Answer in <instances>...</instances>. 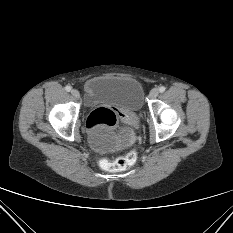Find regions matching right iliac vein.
I'll return each mask as SVG.
<instances>
[{
	"instance_id": "1",
	"label": "right iliac vein",
	"mask_w": 233,
	"mask_h": 233,
	"mask_svg": "<svg viewBox=\"0 0 233 233\" xmlns=\"http://www.w3.org/2000/svg\"><path fill=\"white\" fill-rule=\"evenodd\" d=\"M71 94H72L76 99H79V97H80V93H79V91L76 90V89H73V90L71 91Z\"/></svg>"
}]
</instances>
